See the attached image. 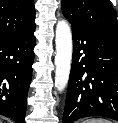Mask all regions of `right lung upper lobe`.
<instances>
[{
    "label": "right lung upper lobe",
    "mask_w": 118,
    "mask_h": 123,
    "mask_svg": "<svg viewBox=\"0 0 118 123\" xmlns=\"http://www.w3.org/2000/svg\"><path fill=\"white\" fill-rule=\"evenodd\" d=\"M34 29L33 0H0V41L26 35Z\"/></svg>",
    "instance_id": "cb5924a9"
}]
</instances>
